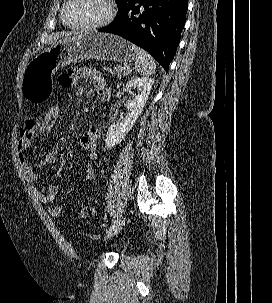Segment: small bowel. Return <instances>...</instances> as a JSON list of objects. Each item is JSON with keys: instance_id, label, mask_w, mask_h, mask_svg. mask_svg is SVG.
<instances>
[{"instance_id": "c3829d8e", "label": "small bowel", "mask_w": 272, "mask_h": 303, "mask_svg": "<svg viewBox=\"0 0 272 303\" xmlns=\"http://www.w3.org/2000/svg\"><path fill=\"white\" fill-rule=\"evenodd\" d=\"M90 79L94 82L96 94L101 97H106L107 86L101 78L98 71L91 68H76L69 70L59 77V81L63 86L72 87L80 80ZM38 121L36 117H30L24 123L20 139L18 141V160L23 171L25 178L34 186V194L36 198L45 205H49V211L54 216H60L62 207L51 206V203L58 193V186L51 184L47 192H42L37 186L38 175L30 164L28 150L32 141L39 136ZM101 135L100 125H94L85 131L79 139V147L84 151L90 160H96L98 157L97 141ZM56 163V157L52 152H46L43 159L38 164V169L45 168L46 166H53ZM95 177L94 170L90 164L85 166V181L90 183Z\"/></svg>"}]
</instances>
